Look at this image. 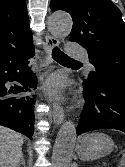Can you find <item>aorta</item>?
Masks as SVG:
<instances>
[{
	"label": "aorta",
	"mask_w": 125,
	"mask_h": 167,
	"mask_svg": "<svg viewBox=\"0 0 125 167\" xmlns=\"http://www.w3.org/2000/svg\"><path fill=\"white\" fill-rule=\"evenodd\" d=\"M72 18L64 12H55L48 19V29L56 38L68 36L72 29ZM76 141V126L71 121L65 122L57 135L53 153L52 167H69Z\"/></svg>",
	"instance_id": "762f6f07"
}]
</instances>
